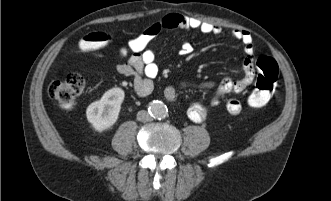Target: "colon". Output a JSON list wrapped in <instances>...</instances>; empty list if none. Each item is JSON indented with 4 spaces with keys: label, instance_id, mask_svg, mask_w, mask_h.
I'll return each mask as SVG.
<instances>
[{
    "label": "colon",
    "instance_id": "1",
    "mask_svg": "<svg viewBox=\"0 0 331 201\" xmlns=\"http://www.w3.org/2000/svg\"><path fill=\"white\" fill-rule=\"evenodd\" d=\"M112 37L105 32H92L84 36L80 41L83 51H95L107 46ZM258 75L255 88L248 98L251 107H262L272 98L278 79V65L276 61L266 55L260 56L256 61ZM85 80L78 73H71L64 79L51 83L49 93L59 106L64 110L75 107L79 96L82 94Z\"/></svg>",
    "mask_w": 331,
    "mask_h": 201
}]
</instances>
